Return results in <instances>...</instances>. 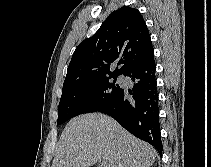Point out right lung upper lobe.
<instances>
[{
	"label": "right lung upper lobe",
	"instance_id": "obj_1",
	"mask_svg": "<svg viewBox=\"0 0 211 167\" xmlns=\"http://www.w3.org/2000/svg\"><path fill=\"white\" fill-rule=\"evenodd\" d=\"M154 55L141 13L129 6L112 12L99 30L73 53L63 86L87 79L121 75ZM121 65L113 70V65Z\"/></svg>",
	"mask_w": 211,
	"mask_h": 167
}]
</instances>
